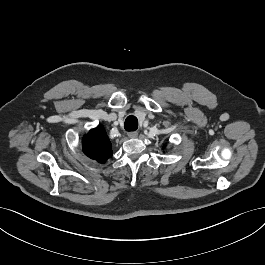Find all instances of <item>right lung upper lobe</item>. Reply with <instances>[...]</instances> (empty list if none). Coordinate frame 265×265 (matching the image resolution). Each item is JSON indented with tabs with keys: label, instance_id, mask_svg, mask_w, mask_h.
Returning a JSON list of instances; mask_svg holds the SVG:
<instances>
[{
	"label": "right lung upper lobe",
	"instance_id": "1",
	"mask_svg": "<svg viewBox=\"0 0 265 265\" xmlns=\"http://www.w3.org/2000/svg\"><path fill=\"white\" fill-rule=\"evenodd\" d=\"M83 151L89 158L104 163L112 156V146L103 126L89 131L83 138Z\"/></svg>",
	"mask_w": 265,
	"mask_h": 265
}]
</instances>
